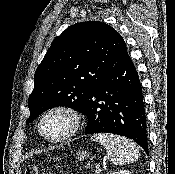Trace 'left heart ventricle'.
<instances>
[{
    "instance_id": "b2bd125f",
    "label": "left heart ventricle",
    "mask_w": 175,
    "mask_h": 174,
    "mask_svg": "<svg viewBox=\"0 0 175 174\" xmlns=\"http://www.w3.org/2000/svg\"><path fill=\"white\" fill-rule=\"evenodd\" d=\"M70 127V117L59 112L49 115L43 123L44 133L49 137H58L67 132Z\"/></svg>"
}]
</instances>
